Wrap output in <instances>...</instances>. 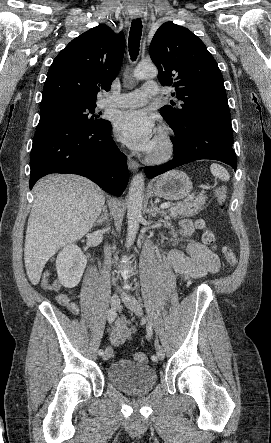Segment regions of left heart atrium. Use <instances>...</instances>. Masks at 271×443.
<instances>
[{"label":"left heart atrium","mask_w":271,"mask_h":443,"mask_svg":"<svg viewBox=\"0 0 271 443\" xmlns=\"http://www.w3.org/2000/svg\"><path fill=\"white\" fill-rule=\"evenodd\" d=\"M115 135L119 140L137 152H148L152 149L154 135V121L143 110H128L117 115Z\"/></svg>","instance_id":"left-heart-atrium-1"}]
</instances>
